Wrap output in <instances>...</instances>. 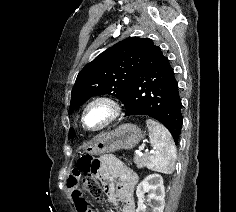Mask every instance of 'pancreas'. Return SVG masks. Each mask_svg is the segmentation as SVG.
I'll use <instances>...</instances> for the list:
<instances>
[{"instance_id": "1", "label": "pancreas", "mask_w": 236, "mask_h": 212, "mask_svg": "<svg viewBox=\"0 0 236 212\" xmlns=\"http://www.w3.org/2000/svg\"><path fill=\"white\" fill-rule=\"evenodd\" d=\"M148 159H149V156L146 154L143 156L135 155L134 163L136 164L138 168H142L143 166L147 165Z\"/></svg>"}]
</instances>
